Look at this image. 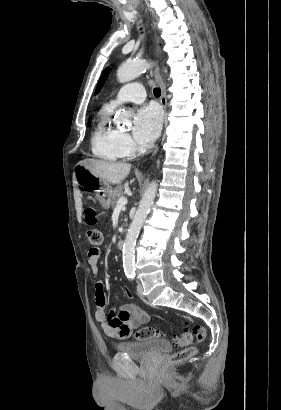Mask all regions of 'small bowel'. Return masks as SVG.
Wrapping results in <instances>:
<instances>
[{
	"label": "small bowel",
	"mask_w": 281,
	"mask_h": 410,
	"mask_svg": "<svg viewBox=\"0 0 281 410\" xmlns=\"http://www.w3.org/2000/svg\"><path fill=\"white\" fill-rule=\"evenodd\" d=\"M100 258L99 248H90L88 251V262L92 274L96 277L95 282V303L96 319L101 322L103 331L111 337L117 339H126L129 337L131 330L137 326L143 325L149 321V314L136 304H126L118 309H112L107 313V300L104 293V283L98 278V262ZM124 296L131 298L132 294L129 288L123 289Z\"/></svg>",
	"instance_id": "1"
}]
</instances>
